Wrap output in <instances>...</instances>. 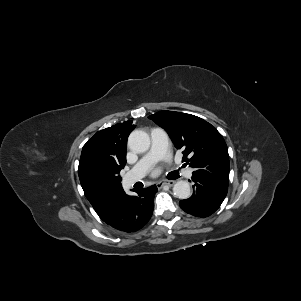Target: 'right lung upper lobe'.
Instances as JSON below:
<instances>
[{"instance_id": "obj_1", "label": "right lung upper lobe", "mask_w": 301, "mask_h": 301, "mask_svg": "<svg viewBox=\"0 0 301 301\" xmlns=\"http://www.w3.org/2000/svg\"><path fill=\"white\" fill-rule=\"evenodd\" d=\"M132 121L116 124L97 132L82 149L78 173H82L91 165H104L122 169L126 164V146L129 134L134 130ZM123 189L109 200H98L86 196L96 213L104 219L118 201Z\"/></svg>"}]
</instances>
